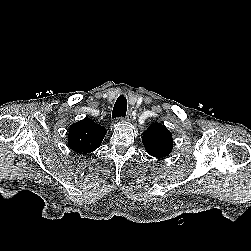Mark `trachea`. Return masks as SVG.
I'll return each mask as SVG.
<instances>
[{
    "instance_id": "obj_1",
    "label": "trachea",
    "mask_w": 251,
    "mask_h": 251,
    "mask_svg": "<svg viewBox=\"0 0 251 251\" xmlns=\"http://www.w3.org/2000/svg\"><path fill=\"white\" fill-rule=\"evenodd\" d=\"M127 110V99L124 95H120L113 107L112 118L125 117Z\"/></svg>"
}]
</instances>
